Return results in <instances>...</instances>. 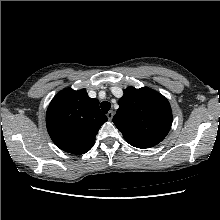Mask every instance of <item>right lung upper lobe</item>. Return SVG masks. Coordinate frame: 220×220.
<instances>
[{"label": "right lung upper lobe", "mask_w": 220, "mask_h": 220, "mask_svg": "<svg viewBox=\"0 0 220 220\" xmlns=\"http://www.w3.org/2000/svg\"><path fill=\"white\" fill-rule=\"evenodd\" d=\"M107 121L99 101L85 89L66 88L51 101L46 113L47 131L61 150L81 155L94 144L100 127Z\"/></svg>", "instance_id": "cb5924a9"}]
</instances>
